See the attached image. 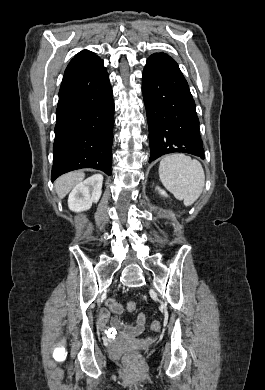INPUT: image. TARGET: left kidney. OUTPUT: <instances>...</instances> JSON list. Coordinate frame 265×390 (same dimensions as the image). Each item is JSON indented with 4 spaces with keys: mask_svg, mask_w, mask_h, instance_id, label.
Returning a JSON list of instances; mask_svg holds the SVG:
<instances>
[{
    "mask_svg": "<svg viewBox=\"0 0 265 390\" xmlns=\"http://www.w3.org/2000/svg\"><path fill=\"white\" fill-rule=\"evenodd\" d=\"M156 189L158 190V192L162 195V196H165L167 197V193L165 192V190L161 189L160 187H156Z\"/></svg>",
    "mask_w": 265,
    "mask_h": 390,
    "instance_id": "5707ae66",
    "label": "left kidney"
}]
</instances>
